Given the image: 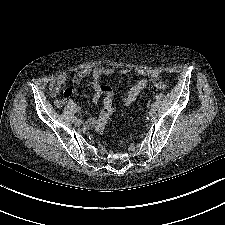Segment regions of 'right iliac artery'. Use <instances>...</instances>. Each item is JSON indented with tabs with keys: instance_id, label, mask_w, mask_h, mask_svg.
I'll return each mask as SVG.
<instances>
[{
	"instance_id": "obj_1",
	"label": "right iliac artery",
	"mask_w": 225,
	"mask_h": 225,
	"mask_svg": "<svg viewBox=\"0 0 225 225\" xmlns=\"http://www.w3.org/2000/svg\"><path fill=\"white\" fill-rule=\"evenodd\" d=\"M76 119H77L76 116H74V117H73V120H76Z\"/></svg>"
}]
</instances>
